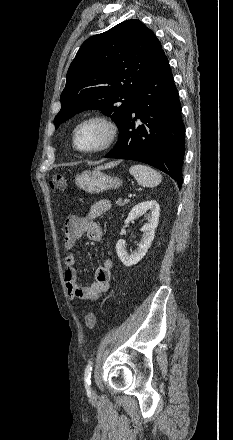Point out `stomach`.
<instances>
[{
  "label": "stomach",
  "instance_id": "0dacf381",
  "mask_svg": "<svg viewBox=\"0 0 233 440\" xmlns=\"http://www.w3.org/2000/svg\"><path fill=\"white\" fill-rule=\"evenodd\" d=\"M75 183L80 189L91 194L117 189L122 185L118 177L107 175L99 169L83 171L75 177Z\"/></svg>",
  "mask_w": 233,
  "mask_h": 440
}]
</instances>
